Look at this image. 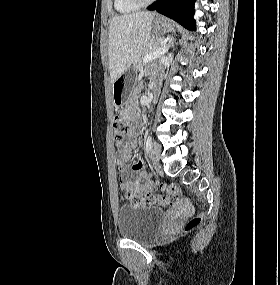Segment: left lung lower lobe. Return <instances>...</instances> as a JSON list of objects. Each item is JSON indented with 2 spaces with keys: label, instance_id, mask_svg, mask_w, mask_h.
Wrapping results in <instances>:
<instances>
[{
  "label": "left lung lower lobe",
  "instance_id": "obj_1",
  "mask_svg": "<svg viewBox=\"0 0 280 285\" xmlns=\"http://www.w3.org/2000/svg\"><path fill=\"white\" fill-rule=\"evenodd\" d=\"M195 0H158L148 7V10H156L178 23L183 27L196 30L193 19Z\"/></svg>",
  "mask_w": 280,
  "mask_h": 285
}]
</instances>
